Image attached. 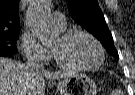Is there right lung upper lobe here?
Listing matches in <instances>:
<instances>
[{"label":"right lung upper lobe","mask_w":135,"mask_h":95,"mask_svg":"<svg viewBox=\"0 0 135 95\" xmlns=\"http://www.w3.org/2000/svg\"><path fill=\"white\" fill-rule=\"evenodd\" d=\"M20 30L18 0H0V32Z\"/></svg>","instance_id":"cb5924a9"}]
</instances>
